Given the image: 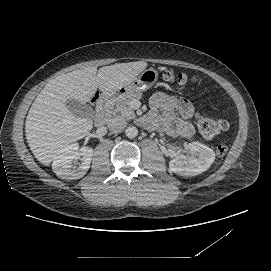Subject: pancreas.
I'll use <instances>...</instances> for the list:
<instances>
[{
	"label": "pancreas",
	"instance_id": "pancreas-1",
	"mask_svg": "<svg viewBox=\"0 0 271 271\" xmlns=\"http://www.w3.org/2000/svg\"><path fill=\"white\" fill-rule=\"evenodd\" d=\"M140 93H130L127 94L123 99L117 100L113 105L114 113L116 116L121 118H129L132 119L135 117L134 110L130 106V102L134 99H140Z\"/></svg>",
	"mask_w": 271,
	"mask_h": 271
}]
</instances>
